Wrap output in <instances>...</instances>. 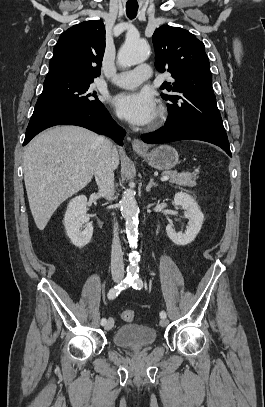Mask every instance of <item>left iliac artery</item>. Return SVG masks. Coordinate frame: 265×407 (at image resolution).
I'll list each match as a JSON object with an SVG mask.
<instances>
[{
  "label": "left iliac artery",
  "mask_w": 265,
  "mask_h": 407,
  "mask_svg": "<svg viewBox=\"0 0 265 407\" xmlns=\"http://www.w3.org/2000/svg\"><path fill=\"white\" fill-rule=\"evenodd\" d=\"M130 284L134 289H138V290H140L143 287V282L139 277L130 278ZM160 317L161 318H166V312L161 311L160 312Z\"/></svg>",
  "instance_id": "1"
}]
</instances>
